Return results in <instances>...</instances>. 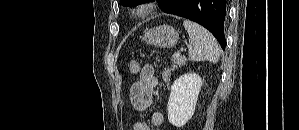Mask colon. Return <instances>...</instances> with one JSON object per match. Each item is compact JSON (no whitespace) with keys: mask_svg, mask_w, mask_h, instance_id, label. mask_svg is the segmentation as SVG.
<instances>
[{"mask_svg":"<svg viewBox=\"0 0 299 130\" xmlns=\"http://www.w3.org/2000/svg\"><path fill=\"white\" fill-rule=\"evenodd\" d=\"M129 71L133 75H137L140 72V63L137 60H132L129 64Z\"/></svg>","mask_w":299,"mask_h":130,"instance_id":"obj_1","label":"colon"}]
</instances>
